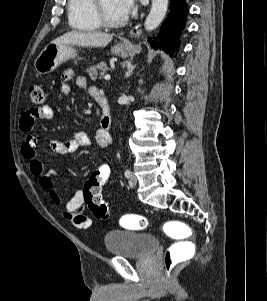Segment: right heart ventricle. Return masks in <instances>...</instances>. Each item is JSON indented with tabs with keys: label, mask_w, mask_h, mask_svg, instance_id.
<instances>
[{
	"label": "right heart ventricle",
	"mask_w": 267,
	"mask_h": 301,
	"mask_svg": "<svg viewBox=\"0 0 267 301\" xmlns=\"http://www.w3.org/2000/svg\"><path fill=\"white\" fill-rule=\"evenodd\" d=\"M93 4V0H68V21L73 29L93 32L102 27L95 17Z\"/></svg>",
	"instance_id": "obj_1"
}]
</instances>
